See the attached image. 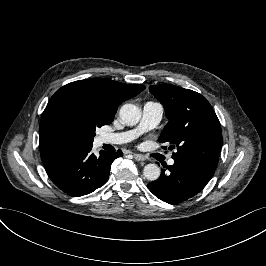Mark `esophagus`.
I'll return each mask as SVG.
<instances>
[{
    "label": "esophagus",
    "mask_w": 266,
    "mask_h": 266,
    "mask_svg": "<svg viewBox=\"0 0 266 266\" xmlns=\"http://www.w3.org/2000/svg\"><path fill=\"white\" fill-rule=\"evenodd\" d=\"M133 156L137 161H145L146 160V157L142 154H139V153H134Z\"/></svg>",
    "instance_id": "obj_1"
}]
</instances>
